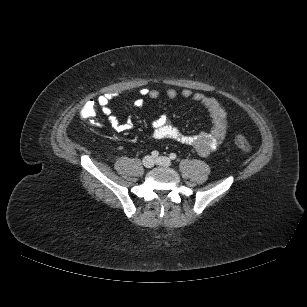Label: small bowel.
Listing matches in <instances>:
<instances>
[{"label": "small bowel", "instance_id": "small-bowel-1", "mask_svg": "<svg viewBox=\"0 0 307 307\" xmlns=\"http://www.w3.org/2000/svg\"><path fill=\"white\" fill-rule=\"evenodd\" d=\"M161 93L155 89H142L139 97L133 101V105L142 108L145 98L157 99ZM165 95L169 99H175L178 92L175 89H168ZM183 98H192L195 102L202 105L209 115L211 121V129L209 132H202L196 135L183 134L179 129L170 124L168 118L161 114L151 121L153 128V136L160 140H173L180 144L193 147L201 156H207L216 150L226 137L229 129L227 114L220 103L212 97L205 96L202 93H193L190 89H183L180 92ZM111 94L100 95L96 103L100 107L101 112L107 117L111 127L117 132H126L132 129L131 120L121 123L117 116L112 112L109 103L112 99Z\"/></svg>", "mask_w": 307, "mask_h": 307}]
</instances>
